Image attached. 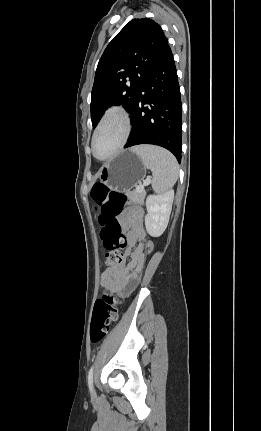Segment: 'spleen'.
I'll use <instances>...</instances> for the list:
<instances>
[{
    "instance_id": "1",
    "label": "spleen",
    "mask_w": 261,
    "mask_h": 431,
    "mask_svg": "<svg viewBox=\"0 0 261 431\" xmlns=\"http://www.w3.org/2000/svg\"><path fill=\"white\" fill-rule=\"evenodd\" d=\"M142 160L145 168L153 174L152 188L156 193H166L178 178V163L176 158L166 149L140 145L132 148Z\"/></svg>"
}]
</instances>
